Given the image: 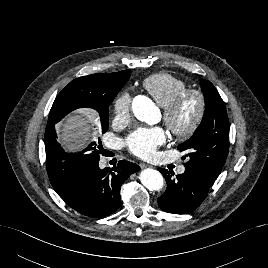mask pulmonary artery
<instances>
[{
    "instance_id": "obj_1",
    "label": "pulmonary artery",
    "mask_w": 268,
    "mask_h": 268,
    "mask_svg": "<svg viewBox=\"0 0 268 268\" xmlns=\"http://www.w3.org/2000/svg\"><path fill=\"white\" fill-rule=\"evenodd\" d=\"M177 172L179 174H183L185 172V166L184 165H180L178 168H177Z\"/></svg>"
}]
</instances>
